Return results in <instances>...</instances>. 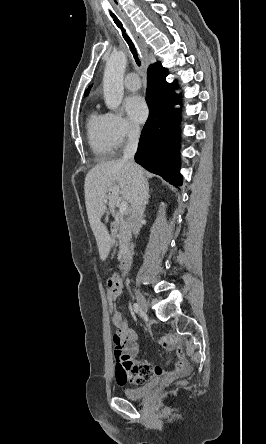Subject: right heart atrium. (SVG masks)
I'll return each mask as SVG.
<instances>
[{
  "mask_svg": "<svg viewBox=\"0 0 266 444\" xmlns=\"http://www.w3.org/2000/svg\"><path fill=\"white\" fill-rule=\"evenodd\" d=\"M106 119L111 139L116 147L138 134V128L119 112L107 113Z\"/></svg>",
  "mask_w": 266,
  "mask_h": 444,
  "instance_id": "obj_1",
  "label": "right heart atrium"
}]
</instances>
